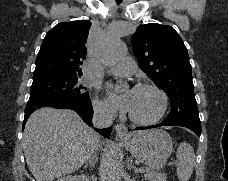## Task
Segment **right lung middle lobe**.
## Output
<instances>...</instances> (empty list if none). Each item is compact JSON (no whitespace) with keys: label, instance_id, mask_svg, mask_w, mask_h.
Listing matches in <instances>:
<instances>
[{"label":"right lung middle lobe","instance_id":"obj_1","mask_svg":"<svg viewBox=\"0 0 228 181\" xmlns=\"http://www.w3.org/2000/svg\"><path fill=\"white\" fill-rule=\"evenodd\" d=\"M81 75L58 74L33 78L29 101L58 99L75 104H91L86 88L78 84Z\"/></svg>","mask_w":228,"mask_h":181}]
</instances>
